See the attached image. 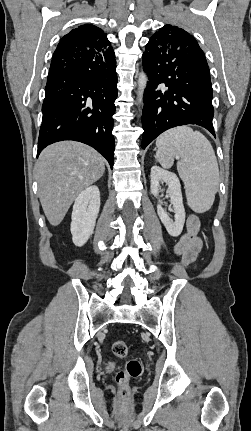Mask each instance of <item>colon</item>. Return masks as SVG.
Instances as JSON below:
<instances>
[{"label": "colon", "instance_id": "1", "mask_svg": "<svg viewBox=\"0 0 251 431\" xmlns=\"http://www.w3.org/2000/svg\"><path fill=\"white\" fill-rule=\"evenodd\" d=\"M113 354L119 358H124L128 354V348L124 341L115 340L111 345ZM142 365L138 359H130L125 367L116 373V383L119 387L120 395L126 397L130 380L141 375Z\"/></svg>", "mask_w": 251, "mask_h": 431}]
</instances>
